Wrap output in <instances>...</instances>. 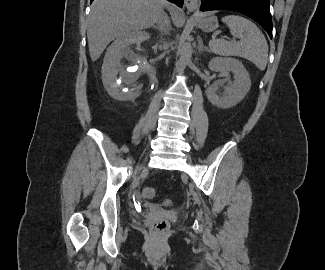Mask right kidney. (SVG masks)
<instances>
[{
  "label": "right kidney",
  "instance_id": "1",
  "mask_svg": "<svg viewBox=\"0 0 325 270\" xmlns=\"http://www.w3.org/2000/svg\"><path fill=\"white\" fill-rule=\"evenodd\" d=\"M149 37L147 32L140 31L125 38H117L107 49L102 65V81L114 99H135L146 78L154 74L155 68L148 62L147 50L142 45Z\"/></svg>",
  "mask_w": 325,
  "mask_h": 270
}]
</instances>
